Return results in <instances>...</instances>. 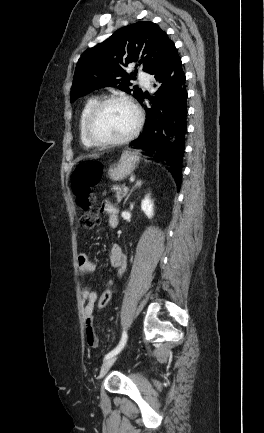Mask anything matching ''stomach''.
<instances>
[{
    "label": "stomach",
    "mask_w": 264,
    "mask_h": 433,
    "mask_svg": "<svg viewBox=\"0 0 264 433\" xmlns=\"http://www.w3.org/2000/svg\"><path fill=\"white\" fill-rule=\"evenodd\" d=\"M139 161L138 156L132 151H124L117 164L111 165L108 176L112 181H121L131 175Z\"/></svg>",
    "instance_id": "0dacf381"
}]
</instances>
